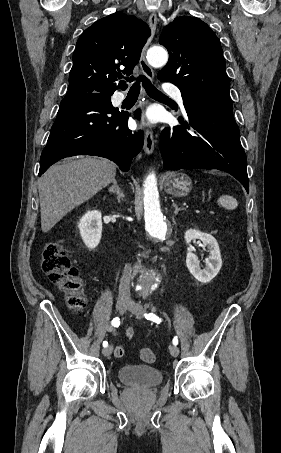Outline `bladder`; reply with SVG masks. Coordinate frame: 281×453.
I'll return each mask as SVG.
<instances>
[{
	"instance_id": "obj_1",
	"label": "bladder",
	"mask_w": 281,
	"mask_h": 453,
	"mask_svg": "<svg viewBox=\"0 0 281 453\" xmlns=\"http://www.w3.org/2000/svg\"><path fill=\"white\" fill-rule=\"evenodd\" d=\"M118 378L136 388H153L163 381L162 372L150 366H121L118 369Z\"/></svg>"
}]
</instances>
